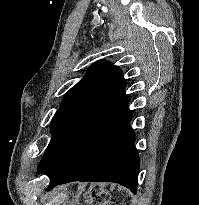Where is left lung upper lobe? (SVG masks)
Returning <instances> with one entry per match:
<instances>
[{"mask_svg": "<svg viewBox=\"0 0 199 205\" xmlns=\"http://www.w3.org/2000/svg\"><path fill=\"white\" fill-rule=\"evenodd\" d=\"M122 71L98 60L63 98L51 120V141L39 171L50 180L62 177L70 168L92 131L127 97Z\"/></svg>", "mask_w": 199, "mask_h": 205, "instance_id": "5c2ea615", "label": "left lung upper lobe"}]
</instances>
